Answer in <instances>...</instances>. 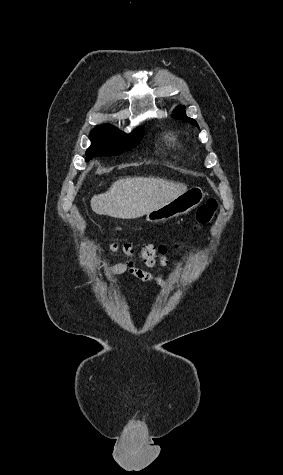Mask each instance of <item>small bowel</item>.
I'll return each instance as SVG.
<instances>
[{"label": "small bowel", "instance_id": "obj_1", "mask_svg": "<svg viewBox=\"0 0 283 475\" xmlns=\"http://www.w3.org/2000/svg\"><path fill=\"white\" fill-rule=\"evenodd\" d=\"M103 274L105 276H120V275L127 274L143 283L154 285L163 290L168 289L167 284L161 277L154 275L152 273H149L147 271H144L142 269L128 266L125 263L114 264L106 268L103 271Z\"/></svg>", "mask_w": 283, "mask_h": 475}]
</instances>
